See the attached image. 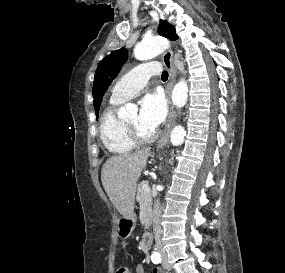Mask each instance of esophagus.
Listing matches in <instances>:
<instances>
[{"mask_svg":"<svg viewBox=\"0 0 285 273\" xmlns=\"http://www.w3.org/2000/svg\"><path fill=\"white\" fill-rule=\"evenodd\" d=\"M162 60H163L165 67L169 71V83L166 88V94H167V100H168V106H169V117H168V122L166 125L165 132L162 135L161 139L156 144L157 150L163 148L165 144L167 143L170 129L175 124V121L177 118V113L171 103V91L175 84L176 76H177V71L173 64V52L171 49H168L167 51L163 53Z\"/></svg>","mask_w":285,"mask_h":273,"instance_id":"34e87169","label":"esophagus"}]
</instances>
